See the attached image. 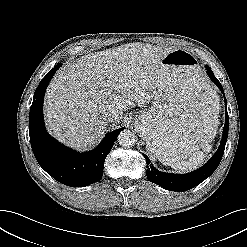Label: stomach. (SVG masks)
Here are the masks:
<instances>
[{
  "mask_svg": "<svg viewBox=\"0 0 247 247\" xmlns=\"http://www.w3.org/2000/svg\"><path fill=\"white\" fill-rule=\"evenodd\" d=\"M160 65L165 70L164 84L155 93L151 107L136 116L135 127L148 151L170 165L212 140L219 99L190 52L175 49Z\"/></svg>",
  "mask_w": 247,
  "mask_h": 247,
  "instance_id": "stomach-1",
  "label": "stomach"
}]
</instances>
